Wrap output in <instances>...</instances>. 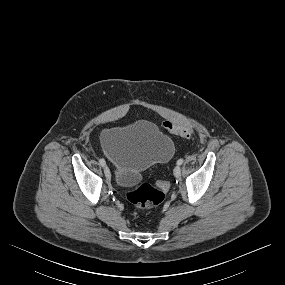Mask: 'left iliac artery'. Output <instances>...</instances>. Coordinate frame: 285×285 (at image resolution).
<instances>
[{
    "label": "left iliac artery",
    "instance_id": "1",
    "mask_svg": "<svg viewBox=\"0 0 285 285\" xmlns=\"http://www.w3.org/2000/svg\"><path fill=\"white\" fill-rule=\"evenodd\" d=\"M183 162H184V160H183V159H179V160L177 161V165H182V164H183Z\"/></svg>",
    "mask_w": 285,
    "mask_h": 285
}]
</instances>
